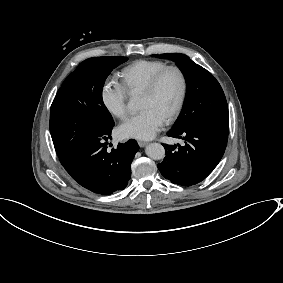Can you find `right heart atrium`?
Wrapping results in <instances>:
<instances>
[{
	"label": "right heart atrium",
	"instance_id": "d8ad5b80",
	"mask_svg": "<svg viewBox=\"0 0 283 283\" xmlns=\"http://www.w3.org/2000/svg\"><path fill=\"white\" fill-rule=\"evenodd\" d=\"M128 93L122 83L114 78L107 79L101 86V100L105 108L115 117L127 116Z\"/></svg>",
	"mask_w": 283,
	"mask_h": 283
}]
</instances>
